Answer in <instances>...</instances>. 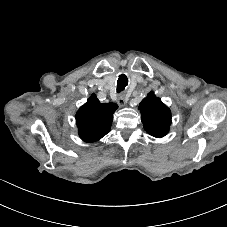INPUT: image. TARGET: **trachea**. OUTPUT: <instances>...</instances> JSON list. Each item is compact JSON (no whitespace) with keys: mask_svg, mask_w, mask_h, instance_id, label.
Masks as SVG:
<instances>
[{"mask_svg":"<svg viewBox=\"0 0 227 227\" xmlns=\"http://www.w3.org/2000/svg\"><path fill=\"white\" fill-rule=\"evenodd\" d=\"M127 85H128V79L126 75L124 74L120 75L117 80V89H116L117 92L118 93L122 92Z\"/></svg>","mask_w":227,"mask_h":227,"instance_id":"3493384b","label":"trachea"}]
</instances>
